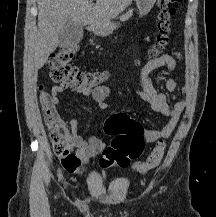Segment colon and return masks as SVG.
I'll list each match as a JSON object with an SVG mask.
<instances>
[{
    "instance_id": "obj_1",
    "label": "colon",
    "mask_w": 216,
    "mask_h": 217,
    "mask_svg": "<svg viewBox=\"0 0 216 217\" xmlns=\"http://www.w3.org/2000/svg\"><path fill=\"white\" fill-rule=\"evenodd\" d=\"M181 0H158L160 12L157 22V33L151 48V57H157L165 51L170 43L171 23L174 15V5ZM78 51L77 46H70L55 52L49 63L50 77L62 86L77 89H94L104 81L101 72H85L71 64ZM40 100L43 107L45 123L49 129V136L54 153L60 158L62 166L69 172H76L80 168V161L71 151L65 122L53 106L49 93L41 91ZM104 131L113 135L112 142L104 148L99 159L102 168L127 167L131 160L138 158L144 148V129L140 123L130 118L126 113H117L107 118ZM165 153V144L156 143L147 158L134 165V170L140 174L156 168Z\"/></svg>"
}]
</instances>
